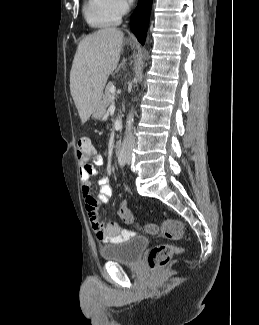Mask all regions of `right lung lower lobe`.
<instances>
[{"instance_id": "98d812e1", "label": "right lung lower lobe", "mask_w": 259, "mask_h": 325, "mask_svg": "<svg viewBox=\"0 0 259 325\" xmlns=\"http://www.w3.org/2000/svg\"><path fill=\"white\" fill-rule=\"evenodd\" d=\"M152 1L153 0H139L131 17V30L142 44L145 42Z\"/></svg>"}]
</instances>
